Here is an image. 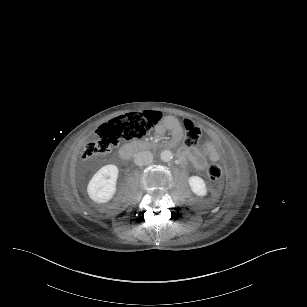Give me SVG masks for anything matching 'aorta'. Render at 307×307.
Returning a JSON list of instances; mask_svg holds the SVG:
<instances>
[{
  "mask_svg": "<svg viewBox=\"0 0 307 307\" xmlns=\"http://www.w3.org/2000/svg\"><path fill=\"white\" fill-rule=\"evenodd\" d=\"M160 159L163 162H170L173 159V154L170 150H164L160 154Z\"/></svg>",
  "mask_w": 307,
  "mask_h": 307,
  "instance_id": "1",
  "label": "aorta"
}]
</instances>
